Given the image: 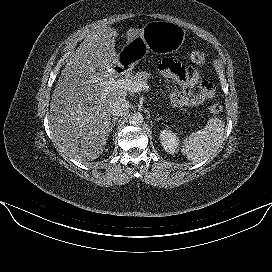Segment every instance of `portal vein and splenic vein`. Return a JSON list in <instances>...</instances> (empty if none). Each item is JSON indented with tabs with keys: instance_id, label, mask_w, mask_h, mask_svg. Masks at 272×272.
Wrapping results in <instances>:
<instances>
[{
	"instance_id": "1",
	"label": "portal vein and splenic vein",
	"mask_w": 272,
	"mask_h": 272,
	"mask_svg": "<svg viewBox=\"0 0 272 272\" xmlns=\"http://www.w3.org/2000/svg\"><path fill=\"white\" fill-rule=\"evenodd\" d=\"M100 85L105 88V92L102 97L105 98L108 92V89H124L126 91L136 93L141 91H147L149 86L144 82H136L130 79H114L110 78L106 81H100Z\"/></svg>"
}]
</instances>
